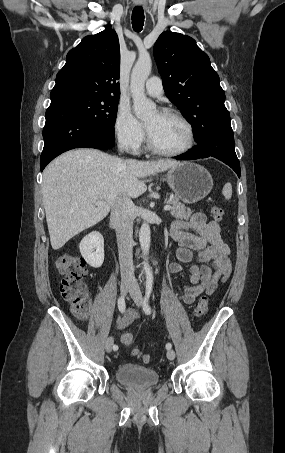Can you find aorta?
<instances>
[{
	"mask_svg": "<svg viewBox=\"0 0 285 453\" xmlns=\"http://www.w3.org/2000/svg\"><path fill=\"white\" fill-rule=\"evenodd\" d=\"M151 69L152 61L150 56H140L131 73L130 92L133 99L134 112L139 119H145L151 116L156 109L155 103L145 96L144 90L145 81L150 75ZM139 241L143 256L145 257L143 266L145 271L148 272L150 271V267L146 256L150 248V226L147 222L141 225Z\"/></svg>",
	"mask_w": 285,
	"mask_h": 453,
	"instance_id": "1",
	"label": "aorta"
}]
</instances>
